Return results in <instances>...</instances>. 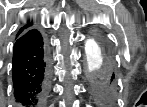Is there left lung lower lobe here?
<instances>
[{
	"label": "left lung lower lobe",
	"instance_id": "0a47b994",
	"mask_svg": "<svg viewBox=\"0 0 147 107\" xmlns=\"http://www.w3.org/2000/svg\"><path fill=\"white\" fill-rule=\"evenodd\" d=\"M114 88L115 74L110 73L96 78V82L91 87V94L98 105L107 107L112 103Z\"/></svg>",
	"mask_w": 147,
	"mask_h": 107
}]
</instances>
